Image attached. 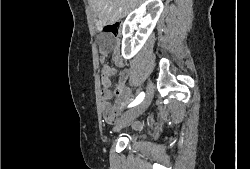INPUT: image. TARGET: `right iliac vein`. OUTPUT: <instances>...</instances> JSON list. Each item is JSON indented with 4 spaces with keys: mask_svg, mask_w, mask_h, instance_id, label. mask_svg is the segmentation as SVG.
<instances>
[{
    "mask_svg": "<svg viewBox=\"0 0 250 169\" xmlns=\"http://www.w3.org/2000/svg\"><path fill=\"white\" fill-rule=\"evenodd\" d=\"M153 98V87L150 82L147 87L145 98L133 109L125 112L118 121L115 130H119L126 126L131 120L139 117L150 105Z\"/></svg>",
    "mask_w": 250,
    "mask_h": 169,
    "instance_id": "63e3f726",
    "label": "right iliac vein"
}]
</instances>
